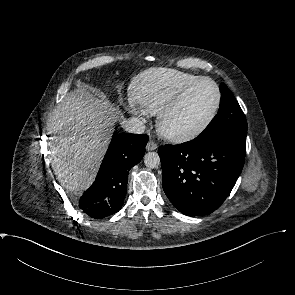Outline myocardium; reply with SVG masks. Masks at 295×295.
Masks as SVG:
<instances>
[{"instance_id":"f54148a6","label":"myocardium","mask_w":295,"mask_h":295,"mask_svg":"<svg viewBox=\"0 0 295 295\" xmlns=\"http://www.w3.org/2000/svg\"><path fill=\"white\" fill-rule=\"evenodd\" d=\"M201 81L210 82L214 86L217 92V100L213 108V111L211 112L208 119L201 126H199L195 130L186 134L174 135V134H170L166 132L164 128L166 118L180 105V103L182 102L184 97L187 95V93ZM221 103H222V93H221V89L219 85L210 77H207V76L197 77L196 79L192 80L191 82L186 84L184 87H182L175 94V96L166 104V106L158 113V118H157L158 130L166 139L174 143L182 144V143L193 141L199 136H201L204 132H206L209 129V127L213 124V122L215 121L220 111Z\"/></svg>"}]
</instances>
